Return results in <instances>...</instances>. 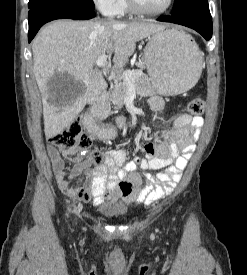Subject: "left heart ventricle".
<instances>
[{
    "mask_svg": "<svg viewBox=\"0 0 247 275\" xmlns=\"http://www.w3.org/2000/svg\"><path fill=\"white\" fill-rule=\"evenodd\" d=\"M141 5L148 10H159L166 6L168 0H139Z\"/></svg>",
    "mask_w": 247,
    "mask_h": 275,
    "instance_id": "1",
    "label": "left heart ventricle"
}]
</instances>
